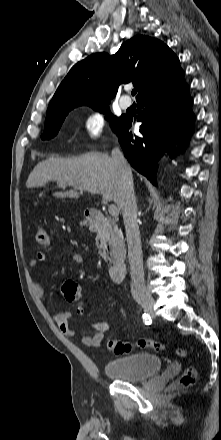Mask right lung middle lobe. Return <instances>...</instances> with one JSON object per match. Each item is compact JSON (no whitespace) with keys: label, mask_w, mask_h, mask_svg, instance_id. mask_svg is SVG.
<instances>
[{"label":"right lung middle lobe","mask_w":221,"mask_h":440,"mask_svg":"<svg viewBox=\"0 0 221 440\" xmlns=\"http://www.w3.org/2000/svg\"><path fill=\"white\" fill-rule=\"evenodd\" d=\"M77 106H80V105H70V106H65V107L58 108V109L48 110L46 120H45L44 133L42 134L41 138L43 140H45V139H51V138L55 137L57 135L65 117L67 116L68 112ZM93 108L101 113H106L109 115V117L112 120L111 126L114 131L117 130V128L120 126V124L122 123V121L124 119L123 116H121L119 118L113 116L108 109V104L93 107Z\"/></svg>","instance_id":"right-lung-middle-lobe-1"}]
</instances>
